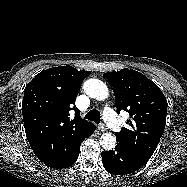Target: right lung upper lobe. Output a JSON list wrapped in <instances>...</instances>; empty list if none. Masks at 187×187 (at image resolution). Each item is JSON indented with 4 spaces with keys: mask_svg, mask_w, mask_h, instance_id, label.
Instances as JSON below:
<instances>
[{
    "mask_svg": "<svg viewBox=\"0 0 187 187\" xmlns=\"http://www.w3.org/2000/svg\"><path fill=\"white\" fill-rule=\"evenodd\" d=\"M90 71L59 66L37 74L25 87L22 114L28 142L47 166L68 157L72 143L95 130L73 106L81 82ZM75 118L70 120L69 111Z\"/></svg>",
    "mask_w": 187,
    "mask_h": 187,
    "instance_id": "right-lung-upper-lobe-1",
    "label": "right lung upper lobe"
}]
</instances>
